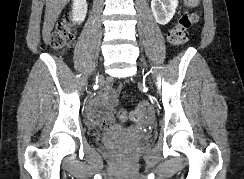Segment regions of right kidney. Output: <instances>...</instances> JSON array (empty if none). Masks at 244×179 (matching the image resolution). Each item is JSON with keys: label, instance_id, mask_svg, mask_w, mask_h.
<instances>
[{"label": "right kidney", "instance_id": "obj_1", "mask_svg": "<svg viewBox=\"0 0 244 179\" xmlns=\"http://www.w3.org/2000/svg\"><path fill=\"white\" fill-rule=\"evenodd\" d=\"M87 14V2L86 0H73L72 6V20L76 24H82Z\"/></svg>", "mask_w": 244, "mask_h": 179}]
</instances>
